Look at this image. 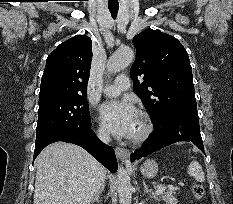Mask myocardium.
<instances>
[{
    "mask_svg": "<svg viewBox=\"0 0 233 204\" xmlns=\"http://www.w3.org/2000/svg\"><path fill=\"white\" fill-rule=\"evenodd\" d=\"M137 114L141 120V128L137 134L131 137L132 142L136 144L146 141L154 129L151 117L147 112L140 110Z\"/></svg>",
    "mask_w": 233,
    "mask_h": 204,
    "instance_id": "myocardium-1",
    "label": "myocardium"
}]
</instances>
